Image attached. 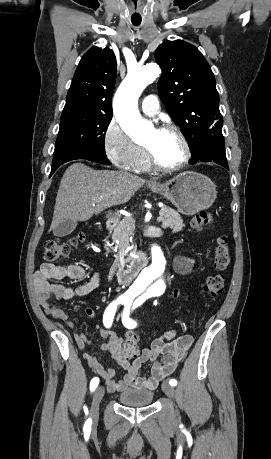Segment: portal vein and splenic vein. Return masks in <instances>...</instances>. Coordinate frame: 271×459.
<instances>
[{
  "instance_id": "portal-vein-and-splenic-vein-1",
  "label": "portal vein and splenic vein",
  "mask_w": 271,
  "mask_h": 459,
  "mask_svg": "<svg viewBox=\"0 0 271 459\" xmlns=\"http://www.w3.org/2000/svg\"><path fill=\"white\" fill-rule=\"evenodd\" d=\"M156 218L158 219V221H162L163 217L162 216H157Z\"/></svg>"
}]
</instances>
